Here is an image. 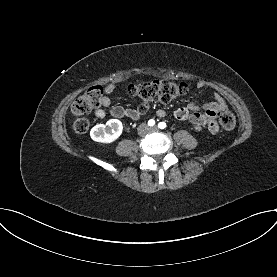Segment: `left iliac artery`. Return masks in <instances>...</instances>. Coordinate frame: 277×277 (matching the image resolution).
<instances>
[{"label":"left iliac artery","mask_w":277,"mask_h":277,"mask_svg":"<svg viewBox=\"0 0 277 277\" xmlns=\"http://www.w3.org/2000/svg\"><path fill=\"white\" fill-rule=\"evenodd\" d=\"M158 127H159L160 129H164V128H166V123H165V122H160V123L158 124Z\"/></svg>","instance_id":"obj_1"}]
</instances>
